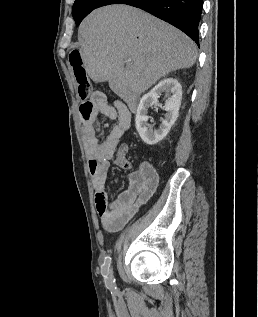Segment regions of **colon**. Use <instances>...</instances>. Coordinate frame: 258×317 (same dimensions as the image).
Returning <instances> with one entry per match:
<instances>
[{"instance_id":"5ec220e1","label":"colon","mask_w":258,"mask_h":317,"mask_svg":"<svg viewBox=\"0 0 258 317\" xmlns=\"http://www.w3.org/2000/svg\"><path fill=\"white\" fill-rule=\"evenodd\" d=\"M69 63L76 78L78 96L83 102H86L91 93V82L87 75L79 50L73 49L70 51ZM85 126L90 127L91 123L87 122ZM127 153L128 146L126 144H121L117 148L114 156L115 163L122 167H128L129 160L127 158Z\"/></svg>"}]
</instances>
